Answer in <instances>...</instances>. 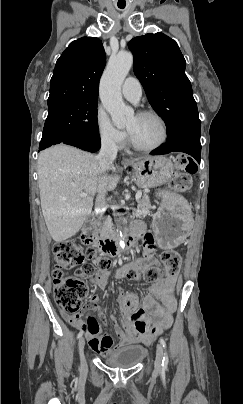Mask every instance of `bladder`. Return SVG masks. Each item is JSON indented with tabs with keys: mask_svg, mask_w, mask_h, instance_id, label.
<instances>
[{
	"mask_svg": "<svg viewBox=\"0 0 243 404\" xmlns=\"http://www.w3.org/2000/svg\"><path fill=\"white\" fill-rule=\"evenodd\" d=\"M147 356V349L139 344H130L112 350L103 357L104 363L114 369H131Z\"/></svg>",
	"mask_w": 243,
	"mask_h": 404,
	"instance_id": "obj_1",
	"label": "bladder"
}]
</instances>
